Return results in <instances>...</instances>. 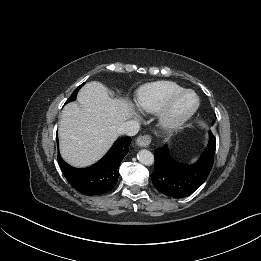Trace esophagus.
<instances>
[{
  "mask_svg": "<svg viewBox=\"0 0 261 261\" xmlns=\"http://www.w3.org/2000/svg\"><path fill=\"white\" fill-rule=\"evenodd\" d=\"M151 143V137L149 135L139 136L136 140V144L139 147H148Z\"/></svg>",
  "mask_w": 261,
  "mask_h": 261,
  "instance_id": "1",
  "label": "esophagus"
}]
</instances>
